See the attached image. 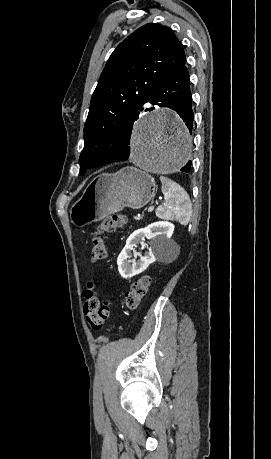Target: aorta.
Returning <instances> with one entry per match:
<instances>
[{"instance_id":"aorta-1","label":"aorta","mask_w":271,"mask_h":459,"mask_svg":"<svg viewBox=\"0 0 271 459\" xmlns=\"http://www.w3.org/2000/svg\"><path fill=\"white\" fill-rule=\"evenodd\" d=\"M192 139L186 126L156 109L137 123L131 141V159L144 172L169 174L191 158Z\"/></svg>"}]
</instances>
